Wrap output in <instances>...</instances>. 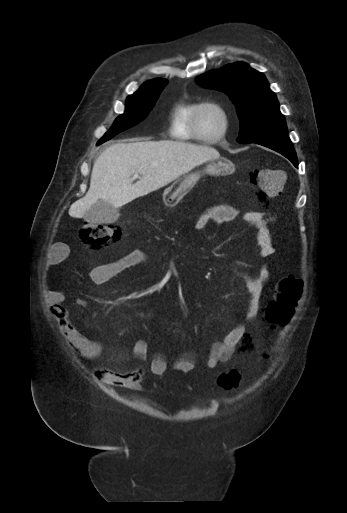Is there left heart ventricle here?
Returning <instances> with one entry per match:
<instances>
[{
  "label": "left heart ventricle",
  "mask_w": 347,
  "mask_h": 513,
  "mask_svg": "<svg viewBox=\"0 0 347 513\" xmlns=\"http://www.w3.org/2000/svg\"><path fill=\"white\" fill-rule=\"evenodd\" d=\"M223 127L221 114L214 108L202 110L198 117V128L205 138H212L218 135Z\"/></svg>",
  "instance_id": "obj_1"
}]
</instances>
